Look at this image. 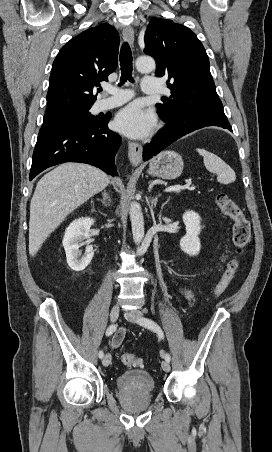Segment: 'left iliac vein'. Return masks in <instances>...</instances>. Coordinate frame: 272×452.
Instances as JSON below:
<instances>
[{
  "label": "left iliac vein",
  "mask_w": 272,
  "mask_h": 452,
  "mask_svg": "<svg viewBox=\"0 0 272 452\" xmlns=\"http://www.w3.org/2000/svg\"><path fill=\"white\" fill-rule=\"evenodd\" d=\"M124 315L128 321L135 322V323H139L138 320L143 316V314L138 310L127 311V312H125ZM161 366L165 372L170 371L171 367H170V364L168 361L163 360L161 363Z\"/></svg>",
  "instance_id": "4c4485c4"
}]
</instances>
